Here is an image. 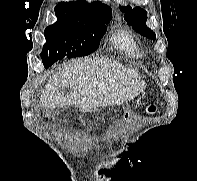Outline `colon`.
<instances>
[{"instance_id":"colon-1","label":"colon","mask_w":197,"mask_h":181,"mask_svg":"<svg viewBox=\"0 0 197 181\" xmlns=\"http://www.w3.org/2000/svg\"><path fill=\"white\" fill-rule=\"evenodd\" d=\"M157 108L154 104H150L146 108L147 114H154L156 112Z\"/></svg>"}]
</instances>
